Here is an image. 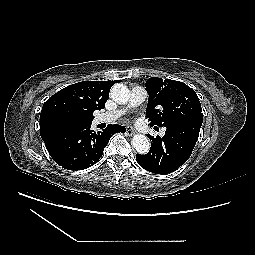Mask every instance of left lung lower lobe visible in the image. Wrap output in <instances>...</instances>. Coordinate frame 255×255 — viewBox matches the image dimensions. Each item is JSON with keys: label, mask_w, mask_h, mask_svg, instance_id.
Wrapping results in <instances>:
<instances>
[{"label": "left lung lower lobe", "mask_w": 255, "mask_h": 255, "mask_svg": "<svg viewBox=\"0 0 255 255\" xmlns=\"http://www.w3.org/2000/svg\"><path fill=\"white\" fill-rule=\"evenodd\" d=\"M202 122L203 116L167 125L163 138L147 135L151 141V149L145 155L136 154L138 164L156 174L174 172L189 159L198 140Z\"/></svg>", "instance_id": "obj_1"}]
</instances>
